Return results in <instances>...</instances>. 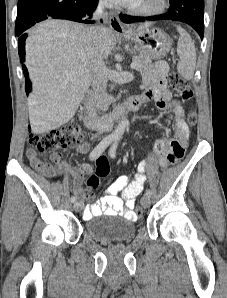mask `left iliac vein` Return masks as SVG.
Wrapping results in <instances>:
<instances>
[{"label": "left iliac vein", "mask_w": 227, "mask_h": 298, "mask_svg": "<svg viewBox=\"0 0 227 298\" xmlns=\"http://www.w3.org/2000/svg\"><path fill=\"white\" fill-rule=\"evenodd\" d=\"M151 204V201H150V197L145 195L142 197L141 199V205L144 207V208H148Z\"/></svg>", "instance_id": "left-iliac-vein-1"}]
</instances>
